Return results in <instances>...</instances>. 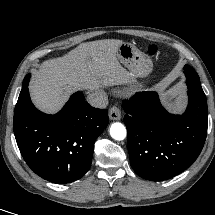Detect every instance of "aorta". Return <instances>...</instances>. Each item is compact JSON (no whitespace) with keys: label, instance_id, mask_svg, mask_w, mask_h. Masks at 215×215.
Wrapping results in <instances>:
<instances>
[{"label":"aorta","instance_id":"aorta-1","mask_svg":"<svg viewBox=\"0 0 215 215\" xmlns=\"http://www.w3.org/2000/svg\"><path fill=\"white\" fill-rule=\"evenodd\" d=\"M126 128L122 123L115 122L110 127V135L115 140H123L126 137Z\"/></svg>","mask_w":215,"mask_h":215}]
</instances>
